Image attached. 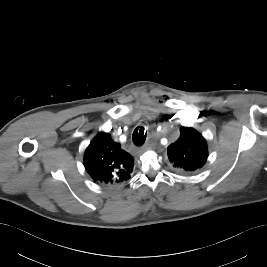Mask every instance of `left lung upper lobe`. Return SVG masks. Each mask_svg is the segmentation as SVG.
I'll list each match as a JSON object with an SVG mask.
<instances>
[{
    "instance_id": "5c2ea615",
    "label": "left lung upper lobe",
    "mask_w": 267,
    "mask_h": 267,
    "mask_svg": "<svg viewBox=\"0 0 267 267\" xmlns=\"http://www.w3.org/2000/svg\"><path fill=\"white\" fill-rule=\"evenodd\" d=\"M167 153L175 170L182 174L199 172L208 157L203 136L195 129L183 126L180 128V137L169 145Z\"/></svg>"
}]
</instances>
